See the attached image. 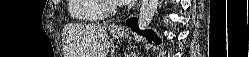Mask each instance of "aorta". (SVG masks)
Here are the masks:
<instances>
[{
  "label": "aorta",
  "instance_id": "762f6f07",
  "mask_svg": "<svg viewBox=\"0 0 249 57\" xmlns=\"http://www.w3.org/2000/svg\"><path fill=\"white\" fill-rule=\"evenodd\" d=\"M159 0H143L138 16V26L147 29L157 11Z\"/></svg>",
  "mask_w": 249,
  "mask_h": 57
}]
</instances>
